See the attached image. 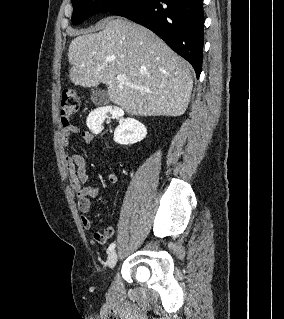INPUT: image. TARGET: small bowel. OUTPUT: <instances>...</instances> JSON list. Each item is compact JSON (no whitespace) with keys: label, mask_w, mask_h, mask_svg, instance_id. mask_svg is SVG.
Masks as SVG:
<instances>
[{"label":"small bowel","mask_w":284,"mask_h":319,"mask_svg":"<svg viewBox=\"0 0 284 319\" xmlns=\"http://www.w3.org/2000/svg\"><path fill=\"white\" fill-rule=\"evenodd\" d=\"M72 134H81L83 141L86 144H93L96 137L89 131H81L77 125H68L62 128L61 142L63 145H68ZM65 165L70 177V185L76 194L77 206L81 213V224L84 229L89 230L92 227V221L88 216L91 209V199H94L99 194L98 187L89 185V174L87 172V163L83 156L79 154H66ZM108 181L116 183L118 176L115 172L108 173ZM115 229L113 226H107L103 232H94L93 240L98 244H104L109 238L113 237Z\"/></svg>","instance_id":"c3829d8e"}]
</instances>
